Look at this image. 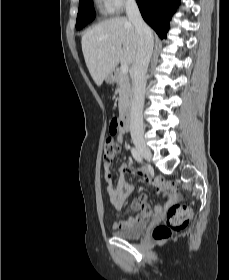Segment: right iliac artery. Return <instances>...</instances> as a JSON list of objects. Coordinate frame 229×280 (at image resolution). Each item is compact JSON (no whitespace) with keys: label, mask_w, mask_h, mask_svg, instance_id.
<instances>
[{"label":"right iliac artery","mask_w":229,"mask_h":280,"mask_svg":"<svg viewBox=\"0 0 229 280\" xmlns=\"http://www.w3.org/2000/svg\"><path fill=\"white\" fill-rule=\"evenodd\" d=\"M131 153H132L133 158H134L137 162L143 163L142 156L140 155V153L138 152V150H136L135 148H132V149H131Z\"/></svg>","instance_id":"obj_1"}]
</instances>
